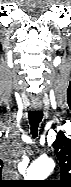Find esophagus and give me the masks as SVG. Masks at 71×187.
I'll return each instance as SVG.
<instances>
[{
	"label": "esophagus",
	"instance_id": "obj_1",
	"mask_svg": "<svg viewBox=\"0 0 71 187\" xmlns=\"http://www.w3.org/2000/svg\"><path fill=\"white\" fill-rule=\"evenodd\" d=\"M34 111H38V110H40V106L39 105H33L32 107H31Z\"/></svg>",
	"mask_w": 71,
	"mask_h": 187
}]
</instances>
